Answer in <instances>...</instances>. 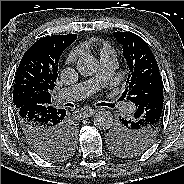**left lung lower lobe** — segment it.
Returning <instances> with one entry per match:
<instances>
[{"label":"left lung lower lobe","instance_id":"left-lung-lower-lobe-1","mask_svg":"<svg viewBox=\"0 0 184 184\" xmlns=\"http://www.w3.org/2000/svg\"><path fill=\"white\" fill-rule=\"evenodd\" d=\"M163 98V96H159L156 98V101H145L140 104L137 107L134 117L130 119L132 120V123L139 124L146 121H154L159 118L162 115ZM124 120L128 121L127 119Z\"/></svg>","mask_w":184,"mask_h":184}]
</instances>
